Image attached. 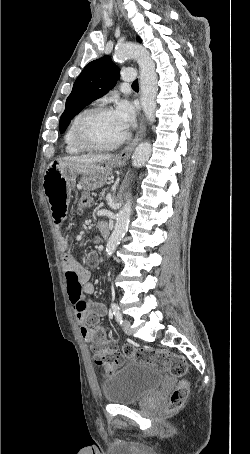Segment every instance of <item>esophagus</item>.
I'll use <instances>...</instances> for the list:
<instances>
[{
	"label": "esophagus",
	"mask_w": 250,
	"mask_h": 454,
	"mask_svg": "<svg viewBox=\"0 0 250 454\" xmlns=\"http://www.w3.org/2000/svg\"><path fill=\"white\" fill-rule=\"evenodd\" d=\"M145 128H146L145 123H144V120L142 119L135 138L119 154H117V156H116L117 159L127 160L130 157L135 146L142 140L144 133H145Z\"/></svg>",
	"instance_id": "esophagus-1"
}]
</instances>
